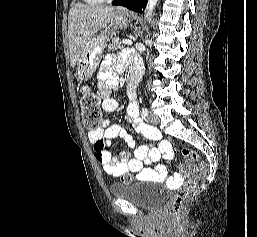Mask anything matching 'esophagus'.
<instances>
[{
  "mask_svg": "<svg viewBox=\"0 0 257 237\" xmlns=\"http://www.w3.org/2000/svg\"><path fill=\"white\" fill-rule=\"evenodd\" d=\"M120 11H124V9H123V8H121V9H120Z\"/></svg>",
  "mask_w": 257,
  "mask_h": 237,
  "instance_id": "1",
  "label": "esophagus"
}]
</instances>
